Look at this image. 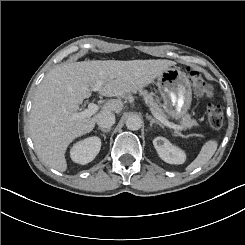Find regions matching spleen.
Masks as SVG:
<instances>
[{
    "label": "spleen",
    "mask_w": 245,
    "mask_h": 245,
    "mask_svg": "<svg viewBox=\"0 0 245 245\" xmlns=\"http://www.w3.org/2000/svg\"><path fill=\"white\" fill-rule=\"evenodd\" d=\"M217 149V142L210 140L206 142L196 159L187 166L186 171H192L198 167L205 165L214 155Z\"/></svg>",
    "instance_id": "1"
}]
</instances>
